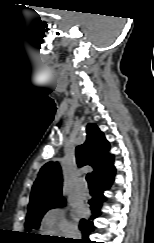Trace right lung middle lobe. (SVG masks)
<instances>
[{"mask_svg":"<svg viewBox=\"0 0 154 243\" xmlns=\"http://www.w3.org/2000/svg\"><path fill=\"white\" fill-rule=\"evenodd\" d=\"M65 205V199L61 198L55 201H51L33 208H28V213L25 222V228L31 230L33 228H39L40 221L43 215L50 209L56 206ZM32 238H40L41 235H34V233L29 234Z\"/></svg>","mask_w":154,"mask_h":243,"instance_id":"right-lung-middle-lobe-1","label":"right lung middle lobe"}]
</instances>
